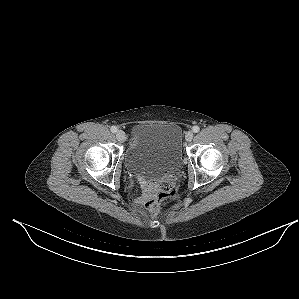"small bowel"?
Returning a JSON list of instances; mask_svg holds the SVG:
<instances>
[{
  "instance_id": "obj_1",
  "label": "small bowel",
  "mask_w": 299,
  "mask_h": 299,
  "mask_svg": "<svg viewBox=\"0 0 299 299\" xmlns=\"http://www.w3.org/2000/svg\"><path fill=\"white\" fill-rule=\"evenodd\" d=\"M149 190H150V185L144 184L142 187V193H141V197H140L141 202H147Z\"/></svg>"
}]
</instances>
